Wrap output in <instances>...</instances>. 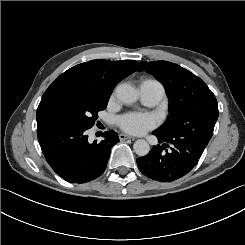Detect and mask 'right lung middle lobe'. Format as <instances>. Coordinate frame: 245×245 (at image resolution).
<instances>
[{"label": "right lung middle lobe", "instance_id": "dd1d6c3e", "mask_svg": "<svg viewBox=\"0 0 245 245\" xmlns=\"http://www.w3.org/2000/svg\"><path fill=\"white\" fill-rule=\"evenodd\" d=\"M110 95L73 82L51 85L37 109L38 129L72 126L91 128L98 112L107 106Z\"/></svg>", "mask_w": 245, "mask_h": 245}]
</instances>
